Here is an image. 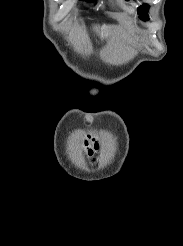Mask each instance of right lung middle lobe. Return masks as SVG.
<instances>
[{
	"label": "right lung middle lobe",
	"instance_id": "dd1d6c3e",
	"mask_svg": "<svg viewBox=\"0 0 183 246\" xmlns=\"http://www.w3.org/2000/svg\"><path fill=\"white\" fill-rule=\"evenodd\" d=\"M85 1H89V2H92V1H94V0H85Z\"/></svg>",
	"mask_w": 183,
	"mask_h": 246
}]
</instances>
